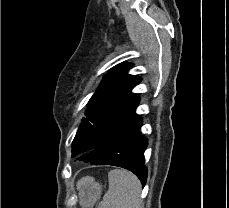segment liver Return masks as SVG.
<instances>
[{
    "mask_svg": "<svg viewBox=\"0 0 229 208\" xmlns=\"http://www.w3.org/2000/svg\"><path fill=\"white\" fill-rule=\"evenodd\" d=\"M87 180H90L89 176H86V178H81V180H79V182H77L78 188H80V186H84V184H86Z\"/></svg>",
    "mask_w": 229,
    "mask_h": 208,
    "instance_id": "1",
    "label": "liver"
}]
</instances>
